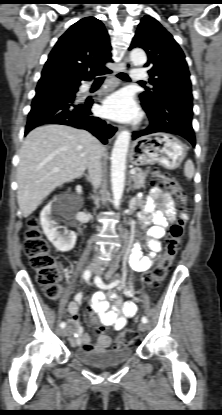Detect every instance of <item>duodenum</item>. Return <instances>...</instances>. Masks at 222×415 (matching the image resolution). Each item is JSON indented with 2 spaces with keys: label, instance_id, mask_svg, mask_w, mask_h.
<instances>
[{
  "label": "duodenum",
  "instance_id": "duodenum-1",
  "mask_svg": "<svg viewBox=\"0 0 222 415\" xmlns=\"http://www.w3.org/2000/svg\"><path fill=\"white\" fill-rule=\"evenodd\" d=\"M85 216H86V215H85V214H83V215H82V218H85Z\"/></svg>",
  "mask_w": 222,
  "mask_h": 415
}]
</instances>
